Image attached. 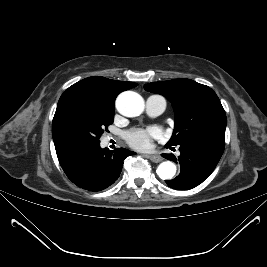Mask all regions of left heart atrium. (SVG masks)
Instances as JSON below:
<instances>
[{"instance_id":"left-heart-atrium-1","label":"left heart atrium","mask_w":267,"mask_h":267,"mask_svg":"<svg viewBox=\"0 0 267 267\" xmlns=\"http://www.w3.org/2000/svg\"><path fill=\"white\" fill-rule=\"evenodd\" d=\"M160 132L157 128L133 129L126 134V141L130 146L139 150H147L151 147L153 139L158 138Z\"/></svg>"}]
</instances>
